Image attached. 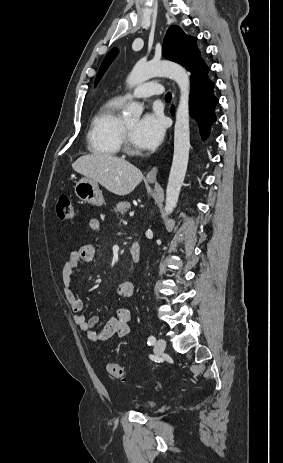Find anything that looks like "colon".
I'll use <instances>...</instances> for the list:
<instances>
[{
	"label": "colon",
	"mask_w": 283,
	"mask_h": 463,
	"mask_svg": "<svg viewBox=\"0 0 283 463\" xmlns=\"http://www.w3.org/2000/svg\"><path fill=\"white\" fill-rule=\"evenodd\" d=\"M57 216L61 220H72L75 217L74 205L70 197L62 195L57 204ZM107 371L110 376L125 380L124 370L117 363H108Z\"/></svg>",
	"instance_id": "5ec220e1"
}]
</instances>
